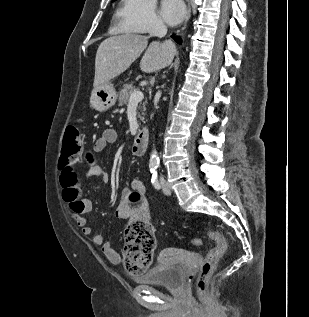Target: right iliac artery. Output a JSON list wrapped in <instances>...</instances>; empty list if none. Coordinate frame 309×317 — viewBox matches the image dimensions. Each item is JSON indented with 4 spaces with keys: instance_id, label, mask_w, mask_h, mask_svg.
I'll list each match as a JSON object with an SVG mask.
<instances>
[{
    "instance_id": "82829eb1",
    "label": "right iliac artery",
    "mask_w": 309,
    "mask_h": 317,
    "mask_svg": "<svg viewBox=\"0 0 309 317\" xmlns=\"http://www.w3.org/2000/svg\"><path fill=\"white\" fill-rule=\"evenodd\" d=\"M156 168H157V166H155V165H150V172L154 174L155 171H156Z\"/></svg>"
}]
</instances>
